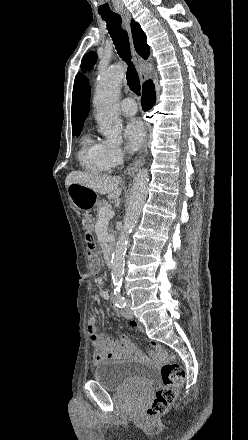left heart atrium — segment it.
<instances>
[{"mask_svg": "<svg viewBox=\"0 0 248 440\" xmlns=\"http://www.w3.org/2000/svg\"><path fill=\"white\" fill-rule=\"evenodd\" d=\"M124 136L127 146L131 151L140 148L145 138L143 123L137 118L129 120L124 128Z\"/></svg>", "mask_w": 248, "mask_h": 440, "instance_id": "39dd6f15", "label": "left heart atrium"}]
</instances>
